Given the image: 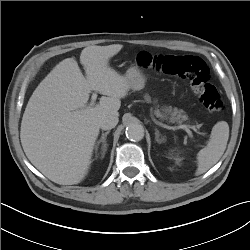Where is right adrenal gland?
Returning a JSON list of instances; mask_svg holds the SVG:
<instances>
[{"instance_id":"obj_1","label":"right adrenal gland","mask_w":250,"mask_h":250,"mask_svg":"<svg viewBox=\"0 0 250 250\" xmlns=\"http://www.w3.org/2000/svg\"><path fill=\"white\" fill-rule=\"evenodd\" d=\"M110 133V131H107L105 133L102 134L101 136V139L97 142V145H96V150L99 146L100 143H103L102 145V154H101V158H104V155H105V152L107 151V143H106V137L107 135Z\"/></svg>"}]
</instances>
